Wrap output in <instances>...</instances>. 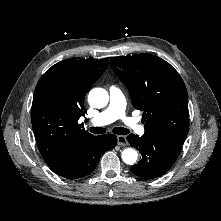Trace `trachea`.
<instances>
[{
	"label": "trachea",
	"mask_w": 221,
	"mask_h": 221,
	"mask_svg": "<svg viewBox=\"0 0 221 221\" xmlns=\"http://www.w3.org/2000/svg\"><path fill=\"white\" fill-rule=\"evenodd\" d=\"M89 130L91 133L94 134H104L106 132L105 128H100V127H91ZM128 132H129L128 129L123 127H115L113 129L114 134L125 135L128 134Z\"/></svg>",
	"instance_id": "obj_1"
}]
</instances>
